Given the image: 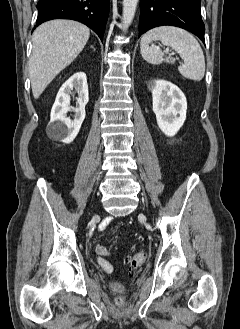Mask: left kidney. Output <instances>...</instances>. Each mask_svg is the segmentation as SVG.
I'll list each match as a JSON object with an SVG mask.
<instances>
[{"label": "left kidney", "instance_id": "obj_1", "mask_svg": "<svg viewBox=\"0 0 240 329\" xmlns=\"http://www.w3.org/2000/svg\"><path fill=\"white\" fill-rule=\"evenodd\" d=\"M152 109L157 124L167 136H174L186 120L187 102L183 92L169 81L154 79L149 82Z\"/></svg>", "mask_w": 240, "mask_h": 329}]
</instances>
